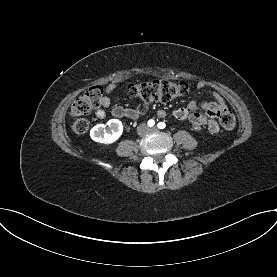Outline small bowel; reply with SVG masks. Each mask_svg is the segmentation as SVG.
Masks as SVG:
<instances>
[{"instance_id": "small-bowel-1", "label": "small bowel", "mask_w": 277, "mask_h": 277, "mask_svg": "<svg viewBox=\"0 0 277 277\" xmlns=\"http://www.w3.org/2000/svg\"><path fill=\"white\" fill-rule=\"evenodd\" d=\"M206 87L207 84L205 82L201 81L197 83L198 89H205ZM116 89L117 85L115 83L107 85L105 88L106 95L103 97L101 103L104 108L110 109L111 116L115 118H129L132 120H138L143 114L146 113L148 110L147 102L140 103L133 108H125L122 106L112 107L111 100L108 95L114 92ZM212 96L214 101H191L186 107L174 110L172 113L173 117L180 121H188L195 130L207 128L211 133H218L220 128L215 119L220 116L222 112L227 110V105L223 97L218 92L213 91ZM200 110H203L204 113L200 112ZM157 114L161 118L167 116V113L164 110H159ZM95 115L96 117L102 119L106 117L107 112L102 108H98L95 110Z\"/></svg>"}]
</instances>
